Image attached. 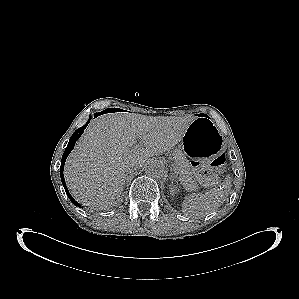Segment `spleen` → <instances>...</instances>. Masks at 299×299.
Here are the masks:
<instances>
[{
	"label": "spleen",
	"instance_id": "obj_1",
	"mask_svg": "<svg viewBox=\"0 0 299 299\" xmlns=\"http://www.w3.org/2000/svg\"><path fill=\"white\" fill-rule=\"evenodd\" d=\"M231 190V177L219 186L205 193H191L185 196L181 207L182 212L193 218H202L220 207L229 195Z\"/></svg>",
	"mask_w": 299,
	"mask_h": 299
}]
</instances>
